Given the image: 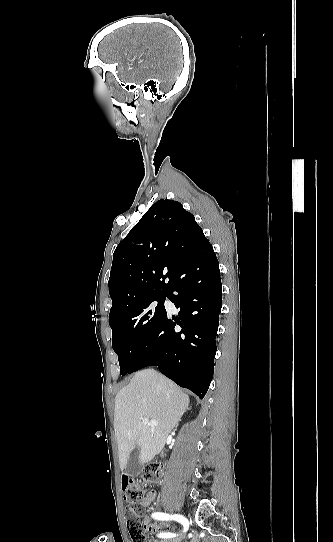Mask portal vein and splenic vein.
Masks as SVG:
<instances>
[{
    "instance_id": "portal-vein-and-splenic-vein-1",
    "label": "portal vein and splenic vein",
    "mask_w": 333,
    "mask_h": 542,
    "mask_svg": "<svg viewBox=\"0 0 333 542\" xmlns=\"http://www.w3.org/2000/svg\"><path fill=\"white\" fill-rule=\"evenodd\" d=\"M144 424H149V426H158L157 420H149V418H140Z\"/></svg>"
}]
</instances>
